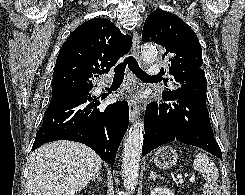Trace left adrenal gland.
<instances>
[{
	"label": "left adrenal gland",
	"instance_id": "a2214340",
	"mask_svg": "<svg viewBox=\"0 0 245 195\" xmlns=\"http://www.w3.org/2000/svg\"><path fill=\"white\" fill-rule=\"evenodd\" d=\"M156 178L162 179L163 177L158 175V174H156V172L151 171L149 179L150 180H155Z\"/></svg>",
	"mask_w": 245,
	"mask_h": 195
}]
</instances>
